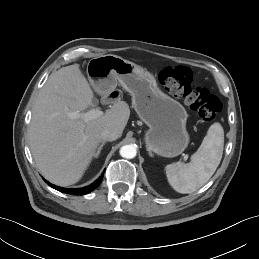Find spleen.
Segmentation results:
<instances>
[{
    "mask_svg": "<svg viewBox=\"0 0 259 259\" xmlns=\"http://www.w3.org/2000/svg\"><path fill=\"white\" fill-rule=\"evenodd\" d=\"M223 148L224 130L220 123H213L189 163L177 162L165 167L169 184L182 194L195 192L216 171L222 159Z\"/></svg>",
    "mask_w": 259,
    "mask_h": 259,
    "instance_id": "1",
    "label": "spleen"
}]
</instances>
